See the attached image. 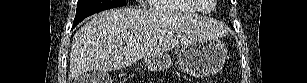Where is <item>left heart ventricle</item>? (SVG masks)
I'll return each instance as SVG.
<instances>
[{
  "instance_id": "b2bd125f",
  "label": "left heart ventricle",
  "mask_w": 307,
  "mask_h": 83,
  "mask_svg": "<svg viewBox=\"0 0 307 83\" xmlns=\"http://www.w3.org/2000/svg\"><path fill=\"white\" fill-rule=\"evenodd\" d=\"M202 8H203L204 10L209 9V8H210V5H209V4L202 5Z\"/></svg>"
}]
</instances>
